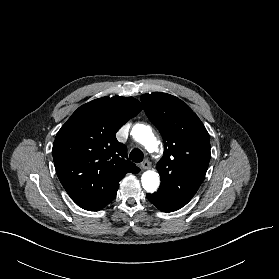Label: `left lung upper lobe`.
<instances>
[{"mask_svg": "<svg viewBox=\"0 0 279 279\" xmlns=\"http://www.w3.org/2000/svg\"><path fill=\"white\" fill-rule=\"evenodd\" d=\"M141 101L164 140V155L157 164L161 177L157 193L191 200L204 180L210 161L206 128L191 108L173 95L143 94Z\"/></svg>", "mask_w": 279, "mask_h": 279, "instance_id": "obj_1", "label": "left lung upper lobe"}]
</instances>
